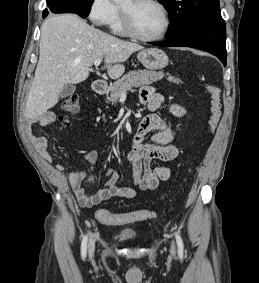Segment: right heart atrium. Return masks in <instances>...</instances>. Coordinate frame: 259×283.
<instances>
[{
  "label": "right heart atrium",
  "instance_id": "obj_1",
  "mask_svg": "<svg viewBox=\"0 0 259 283\" xmlns=\"http://www.w3.org/2000/svg\"><path fill=\"white\" fill-rule=\"evenodd\" d=\"M116 12V6L111 0H92L89 7V19L98 26L108 25Z\"/></svg>",
  "mask_w": 259,
  "mask_h": 283
}]
</instances>
